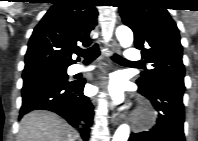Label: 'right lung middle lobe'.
<instances>
[{"label": "right lung middle lobe", "instance_id": "dd1d6c3e", "mask_svg": "<svg viewBox=\"0 0 198 141\" xmlns=\"http://www.w3.org/2000/svg\"><path fill=\"white\" fill-rule=\"evenodd\" d=\"M67 67L62 68H43L34 71L23 72V80L38 78V77H57L63 80H68Z\"/></svg>", "mask_w": 198, "mask_h": 141}]
</instances>
